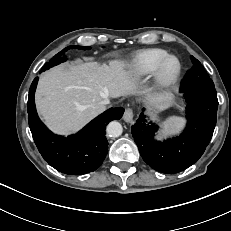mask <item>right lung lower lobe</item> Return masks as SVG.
Listing matches in <instances>:
<instances>
[{"mask_svg": "<svg viewBox=\"0 0 231 231\" xmlns=\"http://www.w3.org/2000/svg\"><path fill=\"white\" fill-rule=\"evenodd\" d=\"M38 77L29 90L27 112L29 127L35 144L45 161L56 170L68 174H86L101 166L108 153L106 125L119 120L123 108H111L92 120L78 133L63 137L53 134L40 121L35 107L34 93Z\"/></svg>", "mask_w": 231, "mask_h": 231, "instance_id": "1", "label": "right lung lower lobe"}]
</instances>
